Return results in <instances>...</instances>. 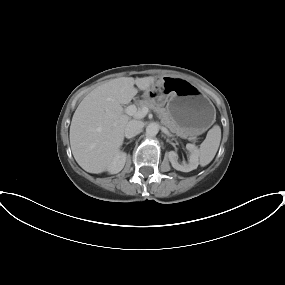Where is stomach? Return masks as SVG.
Masks as SVG:
<instances>
[{"mask_svg":"<svg viewBox=\"0 0 285 285\" xmlns=\"http://www.w3.org/2000/svg\"><path fill=\"white\" fill-rule=\"evenodd\" d=\"M146 100L166 104L171 120L189 136L204 133L215 121L216 111L207 95L183 78L164 76L143 94Z\"/></svg>","mask_w":285,"mask_h":285,"instance_id":"obj_1","label":"stomach"}]
</instances>
